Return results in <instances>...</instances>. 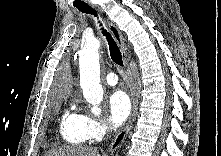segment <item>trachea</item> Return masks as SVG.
Instances as JSON below:
<instances>
[{
	"label": "trachea",
	"mask_w": 221,
	"mask_h": 156,
	"mask_svg": "<svg viewBox=\"0 0 221 156\" xmlns=\"http://www.w3.org/2000/svg\"><path fill=\"white\" fill-rule=\"evenodd\" d=\"M73 5L82 13L91 14L97 17V12L83 1H75ZM100 26H102V23H100ZM101 30H102V34L106 37V40L108 42L110 56H111L112 61L118 66H123L122 55L116 42L114 41L110 33L106 31V29L102 27Z\"/></svg>",
	"instance_id": "trachea-1"
}]
</instances>
